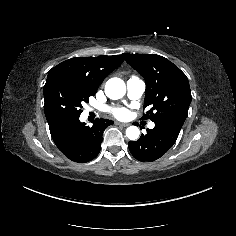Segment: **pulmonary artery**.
I'll use <instances>...</instances> for the list:
<instances>
[{
  "label": "pulmonary artery",
  "mask_w": 236,
  "mask_h": 236,
  "mask_svg": "<svg viewBox=\"0 0 236 236\" xmlns=\"http://www.w3.org/2000/svg\"><path fill=\"white\" fill-rule=\"evenodd\" d=\"M145 90L144 82L138 78H130L127 81V94L130 99H139ZM86 111H92V108L86 107ZM154 123L149 122L148 127L150 129L154 128Z\"/></svg>",
  "instance_id": "e3ab8cb5"
}]
</instances>
